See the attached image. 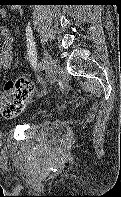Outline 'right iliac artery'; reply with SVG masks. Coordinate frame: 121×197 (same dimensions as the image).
Listing matches in <instances>:
<instances>
[{
    "instance_id": "obj_1",
    "label": "right iliac artery",
    "mask_w": 121,
    "mask_h": 197,
    "mask_svg": "<svg viewBox=\"0 0 121 197\" xmlns=\"http://www.w3.org/2000/svg\"><path fill=\"white\" fill-rule=\"evenodd\" d=\"M37 69H38L39 71L43 70V69H44V63H43V62H39V63L37 64Z\"/></svg>"
}]
</instances>
